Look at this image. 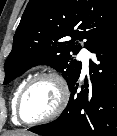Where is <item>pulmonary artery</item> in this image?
Wrapping results in <instances>:
<instances>
[{"instance_id":"e3ab8cb5","label":"pulmonary artery","mask_w":117,"mask_h":136,"mask_svg":"<svg viewBox=\"0 0 117 136\" xmlns=\"http://www.w3.org/2000/svg\"><path fill=\"white\" fill-rule=\"evenodd\" d=\"M91 57V53L86 50L82 49L78 55V58L82 61L83 63V72L87 73L89 69V59Z\"/></svg>"}]
</instances>
